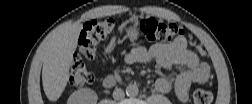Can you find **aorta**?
<instances>
[{"mask_svg":"<svg viewBox=\"0 0 252 104\" xmlns=\"http://www.w3.org/2000/svg\"><path fill=\"white\" fill-rule=\"evenodd\" d=\"M126 94L128 97H136L139 94L138 86L136 84L127 85Z\"/></svg>","mask_w":252,"mask_h":104,"instance_id":"762f6f07","label":"aorta"}]
</instances>
